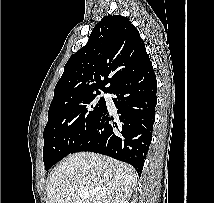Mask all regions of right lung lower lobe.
<instances>
[{"label": "right lung lower lobe", "mask_w": 214, "mask_h": 203, "mask_svg": "<svg viewBox=\"0 0 214 203\" xmlns=\"http://www.w3.org/2000/svg\"><path fill=\"white\" fill-rule=\"evenodd\" d=\"M156 90L151 64L115 85L108 93L114 95L112 99L119 114L116 121L105 105L90 131L71 153L104 154L131 164L140 175L152 138Z\"/></svg>", "instance_id": "obj_1"}]
</instances>
